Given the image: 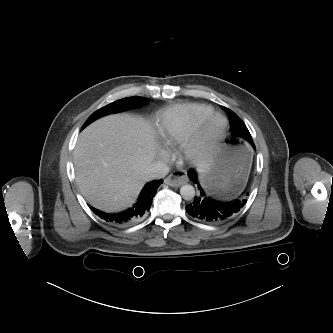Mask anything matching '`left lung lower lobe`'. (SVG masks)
I'll return each mask as SVG.
<instances>
[{
  "label": "left lung lower lobe",
  "mask_w": 333,
  "mask_h": 333,
  "mask_svg": "<svg viewBox=\"0 0 333 333\" xmlns=\"http://www.w3.org/2000/svg\"><path fill=\"white\" fill-rule=\"evenodd\" d=\"M188 176L197 184L200 195L195 198L193 203L186 206V211L197 220L210 223L223 222L237 213L246 204V200L243 198L232 201L212 199L205 194L203 186L198 181L196 171H189Z\"/></svg>",
  "instance_id": "1"
}]
</instances>
